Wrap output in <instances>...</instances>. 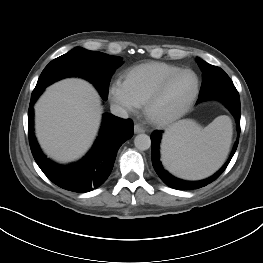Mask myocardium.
I'll return each mask as SVG.
<instances>
[{"label":"myocardium","mask_w":263,"mask_h":263,"mask_svg":"<svg viewBox=\"0 0 263 263\" xmlns=\"http://www.w3.org/2000/svg\"><path fill=\"white\" fill-rule=\"evenodd\" d=\"M185 72H190L195 76L196 79V84L193 93L189 97V99L184 103V105L179 108L177 111H175L172 114L165 115V116H158L154 113V107L155 104L158 102V100L161 98L163 93L165 92L166 88L170 84V82L176 78L178 75L185 73ZM200 86H201V81L198 73L192 69V68H180L169 75H167L158 85L157 87L152 91V93L148 96L144 103V112L146 117L155 125L159 126H164L171 124L181 117H183L193 106L195 103L199 92H200Z\"/></svg>","instance_id":"obj_1"}]
</instances>
